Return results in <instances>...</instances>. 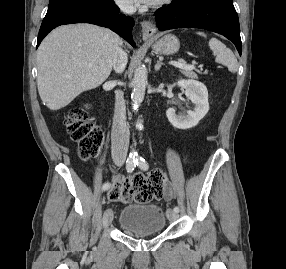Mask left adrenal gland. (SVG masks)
Returning a JSON list of instances; mask_svg holds the SVG:
<instances>
[{
	"label": "left adrenal gland",
	"mask_w": 286,
	"mask_h": 269,
	"mask_svg": "<svg viewBox=\"0 0 286 269\" xmlns=\"http://www.w3.org/2000/svg\"><path fill=\"white\" fill-rule=\"evenodd\" d=\"M162 64L163 63L161 61L157 60V63L155 65V71H158L161 68Z\"/></svg>",
	"instance_id": "obj_1"
}]
</instances>
